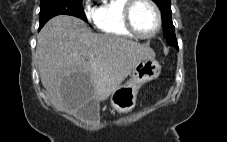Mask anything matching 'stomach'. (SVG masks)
I'll return each mask as SVG.
<instances>
[{"instance_id": "1", "label": "stomach", "mask_w": 227, "mask_h": 142, "mask_svg": "<svg viewBox=\"0 0 227 142\" xmlns=\"http://www.w3.org/2000/svg\"><path fill=\"white\" fill-rule=\"evenodd\" d=\"M160 72L161 66L155 59L140 61L133 68L131 78L113 91L111 96L113 108L119 112L131 110L135 106L141 85L157 78Z\"/></svg>"}]
</instances>
